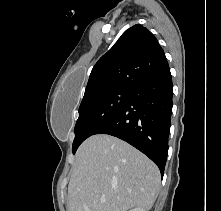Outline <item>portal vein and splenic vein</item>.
Wrapping results in <instances>:
<instances>
[{"mask_svg":"<svg viewBox=\"0 0 221 211\" xmlns=\"http://www.w3.org/2000/svg\"><path fill=\"white\" fill-rule=\"evenodd\" d=\"M105 200H106L105 198H101L100 201L103 203V202H105Z\"/></svg>","mask_w":221,"mask_h":211,"instance_id":"portal-vein-and-splenic-vein-1","label":"portal vein and splenic vein"}]
</instances>
